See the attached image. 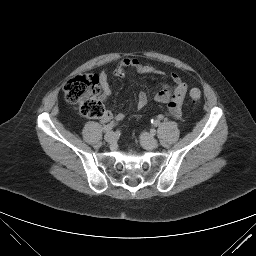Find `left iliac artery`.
<instances>
[{
  "label": "left iliac artery",
  "mask_w": 256,
  "mask_h": 256,
  "mask_svg": "<svg viewBox=\"0 0 256 256\" xmlns=\"http://www.w3.org/2000/svg\"><path fill=\"white\" fill-rule=\"evenodd\" d=\"M152 124H153L154 126H158V125L160 124V121H159V120H153V121H152Z\"/></svg>",
  "instance_id": "1"
}]
</instances>
